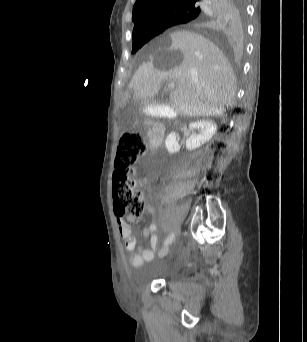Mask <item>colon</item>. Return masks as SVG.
I'll return each mask as SVG.
<instances>
[{
  "label": "colon",
  "instance_id": "1",
  "mask_svg": "<svg viewBox=\"0 0 307 342\" xmlns=\"http://www.w3.org/2000/svg\"><path fill=\"white\" fill-rule=\"evenodd\" d=\"M146 145L145 137L136 130H127L120 137L115 172L118 179L114 182V203L119 213L126 214L130 220L143 215L144 196L136 190L137 182L134 168L141 158Z\"/></svg>",
  "mask_w": 307,
  "mask_h": 342
}]
</instances>
